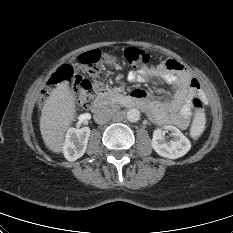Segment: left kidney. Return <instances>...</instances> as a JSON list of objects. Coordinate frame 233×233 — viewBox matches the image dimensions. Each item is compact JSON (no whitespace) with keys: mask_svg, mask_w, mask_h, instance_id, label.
I'll use <instances>...</instances> for the list:
<instances>
[{"mask_svg":"<svg viewBox=\"0 0 233 233\" xmlns=\"http://www.w3.org/2000/svg\"><path fill=\"white\" fill-rule=\"evenodd\" d=\"M165 130L171 132L173 138L166 141L162 135V129L153 132L151 145L155 152L165 158L177 159L184 156L191 148V143L182 132L175 126L167 125Z\"/></svg>","mask_w":233,"mask_h":233,"instance_id":"5707ae66","label":"left kidney"}]
</instances>
